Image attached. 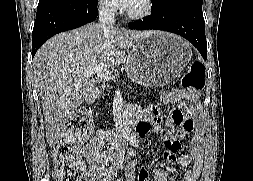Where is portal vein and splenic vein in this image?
<instances>
[{"mask_svg": "<svg viewBox=\"0 0 253 181\" xmlns=\"http://www.w3.org/2000/svg\"><path fill=\"white\" fill-rule=\"evenodd\" d=\"M94 74H96L98 77L107 82L115 78L114 75H112L111 72L107 69L105 63L103 62L89 65L84 72V76H92Z\"/></svg>", "mask_w": 253, "mask_h": 181, "instance_id": "1", "label": "portal vein and splenic vein"}]
</instances>
